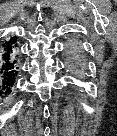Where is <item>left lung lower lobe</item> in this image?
<instances>
[{"mask_svg": "<svg viewBox=\"0 0 117 136\" xmlns=\"http://www.w3.org/2000/svg\"><path fill=\"white\" fill-rule=\"evenodd\" d=\"M65 64L74 72H85L87 67L86 56L79 40H70L65 49Z\"/></svg>", "mask_w": 117, "mask_h": 136, "instance_id": "1", "label": "left lung lower lobe"}]
</instances>
